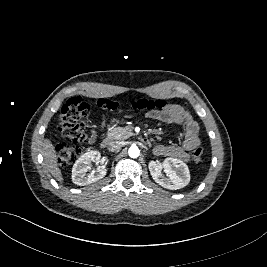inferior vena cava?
I'll return each mask as SVG.
<instances>
[{"label": "inferior vena cava", "mask_w": 267, "mask_h": 267, "mask_svg": "<svg viewBox=\"0 0 267 267\" xmlns=\"http://www.w3.org/2000/svg\"><path fill=\"white\" fill-rule=\"evenodd\" d=\"M122 146H123V142H122V141H111V142L108 144L107 149H108L109 151L113 152V151H117V150H119Z\"/></svg>", "instance_id": "1"}]
</instances>
